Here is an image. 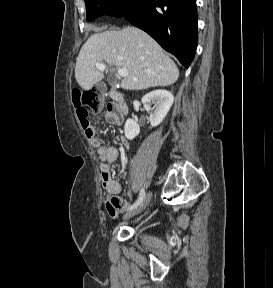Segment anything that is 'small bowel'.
I'll return each mask as SVG.
<instances>
[{"mask_svg": "<svg viewBox=\"0 0 273 288\" xmlns=\"http://www.w3.org/2000/svg\"><path fill=\"white\" fill-rule=\"evenodd\" d=\"M104 118L107 123L112 125H119L123 120L118 116L112 105L108 106ZM84 132L90 143L97 148V153L101 159V184L106 192L105 207L110 217L115 218L117 216V211L124 210L129 204V202L118 197V194L121 191V185L111 174L110 164L118 158L119 151L115 147L102 144L97 138L96 129L93 126L84 129ZM123 144L125 147L127 146L125 139H123Z\"/></svg>", "mask_w": 273, "mask_h": 288, "instance_id": "1", "label": "small bowel"}]
</instances>
